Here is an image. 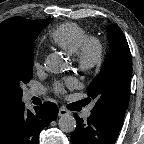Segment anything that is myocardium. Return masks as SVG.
Here are the masks:
<instances>
[{
  "instance_id": "f54148a6",
  "label": "myocardium",
  "mask_w": 144,
  "mask_h": 144,
  "mask_svg": "<svg viewBox=\"0 0 144 144\" xmlns=\"http://www.w3.org/2000/svg\"><path fill=\"white\" fill-rule=\"evenodd\" d=\"M104 55L105 48L102 40L97 36L88 35L74 53V59L80 70L91 72L101 65Z\"/></svg>"
}]
</instances>
